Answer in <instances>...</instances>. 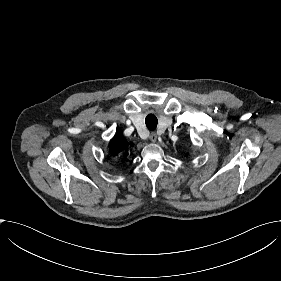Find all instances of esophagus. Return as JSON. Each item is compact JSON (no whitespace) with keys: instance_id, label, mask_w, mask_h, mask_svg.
Wrapping results in <instances>:
<instances>
[{"instance_id":"obj_1","label":"esophagus","mask_w":281,"mask_h":281,"mask_svg":"<svg viewBox=\"0 0 281 281\" xmlns=\"http://www.w3.org/2000/svg\"><path fill=\"white\" fill-rule=\"evenodd\" d=\"M149 138H150V140H151L152 142H156V140H157V134H156L154 131H152V132L150 133Z\"/></svg>"}]
</instances>
